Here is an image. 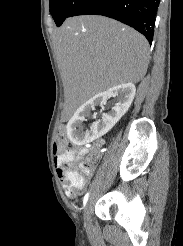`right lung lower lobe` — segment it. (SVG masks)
Returning a JSON list of instances; mask_svg holds the SVG:
<instances>
[{"label": "right lung lower lobe", "mask_w": 183, "mask_h": 246, "mask_svg": "<svg viewBox=\"0 0 183 246\" xmlns=\"http://www.w3.org/2000/svg\"><path fill=\"white\" fill-rule=\"evenodd\" d=\"M159 2L160 0H79L67 17L107 16L133 27L151 44Z\"/></svg>", "instance_id": "right-lung-lower-lobe-1"}]
</instances>
